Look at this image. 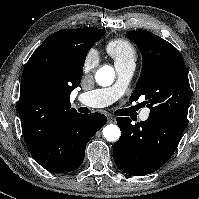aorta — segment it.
<instances>
[{"instance_id":"1","label":"aorta","mask_w":199,"mask_h":199,"mask_svg":"<svg viewBox=\"0 0 199 199\" xmlns=\"http://www.w3.org/2000/svg\"><path fill=\"white\" fill-rule=\"evenodd\" d=\"M115 78L114 69L110 66H103L96 72V82L101 86H110ZM103 136L107 141H116L120 137V129L114 124H109L103 128Z\"/></svg>"}]
</instances>
